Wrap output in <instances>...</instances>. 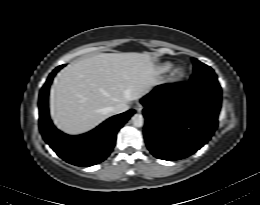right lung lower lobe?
<instances>
[{
	"instance_id": "1",
	"label": "right lung lower lobe",
	"mask_w": 260,
	"mask_h": 205,
	"mask_svg": "<svg viewBox=\"0 0 260 205\" xmlns=\"http://www.w3.org/2000/svg\"><path fill=\"white\" fill-rule=\"evenodd\" d=\"M59 66L49 75L39 96V127L43 139L66 162L76 166H92L105 160L111 153L118 130L134 114V110L113 116L94 130L69 136L57 130L52 124L48 112V92L55 74L63 67Z\"/></svg>"
}]
</instances>
